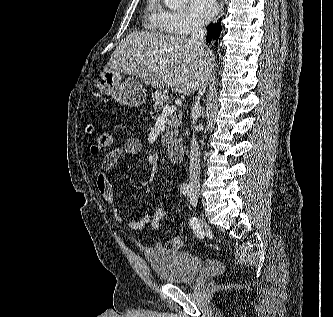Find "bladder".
I'll list each match as a JSON object with an SVG mask.
<instances>
[{
	"label": "bladder",
	"instance_id": "1",
	"mask_svg": "<svg viewBox=\"0 0 333 317\" xmlns=\"http://www.w3.org/2000/svg\"><path fill=\"white\" fill-rule=\"evenodd\" d=\"M145 257L155 275L166 283L193 281L203 268L198 255L155 245L145 251Z\"/></svg>",
	"mask_w": 333,
	"mask_h": 317
}]
</instances>
